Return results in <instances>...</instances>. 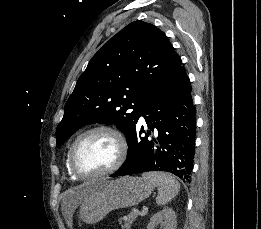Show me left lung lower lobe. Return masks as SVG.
Returning a JSON list of instances; mask_svg holds the SVG:
<instances>
[{
    "mask_svg": "<svg viewBox=\"0 0 261 229\" xmlns=\"http://www.w3.org/2000/svg\"><path fill=\"white\" fill-rule=\"evenodd\" d=\"M196 110L191 85L182 64L164 78L142 105L143 116L151 131L135 129L128 140V157L111 177L145 171L170 172L189 179L193 170Z\"/></svg>",
    "mask_w": 261,
    "mask_h": 229,
    "instance_id": "left-lung-lower-lobe-1",
    "label": "left lung lower lobe"
}]
</instances>
